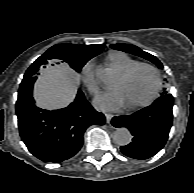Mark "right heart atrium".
<instances>
[{
    "label": "right heart atrium",
    "instance_id": "obj_1",
    "mask_svg": "<svg viewBox=\"0 0 194 193\" xmlns=\"http://www.w3.org/2000/svg\"><path fill=\"white\" fill-rule=\"evenodd\" d=\"M82 78L85 86L92 94H98L100 87L99 82L93 71V64L87 62L82 67Z\"/></svg>",
    "mask_w": 194,
    "mask_h": 193
}]
</instances>
